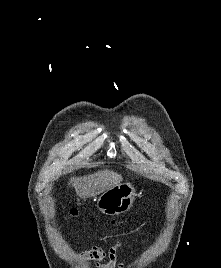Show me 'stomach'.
Instances as JSON below:
<instances>
[{
	"label": "stomach",
	"instance_id": "stomach-1",
	"mask_svg": "<svg viewBox=\"0 0 221 268\" xmlns=\"http://www.w3.org/2000/svg\"><path fill=\"white\" fill-rule=\"evenodd\" d=\"M137 197L136 188L131 183H122L103 192L96 206L106 215H117L128 211Z\"/></svg>",
	"mask_w": 221,
	"mask_h": 268
}]
</instances>
